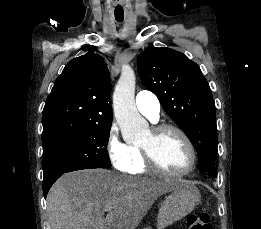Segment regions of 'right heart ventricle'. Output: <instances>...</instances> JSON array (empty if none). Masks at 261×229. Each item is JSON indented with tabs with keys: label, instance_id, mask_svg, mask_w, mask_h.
I'll use <instances>...</instances> for the list:
<instances>
[{
	"label": "right heart ventricle",
	"instance_id": "e07e8e85",
	"mask_svg": "<svg viewBox=\"0 0 261 229\" xmlns=\"http://www.w3.org/2000/svg\"><path fill=\"white\" fill-rule=\"evenodd\" d=\"M134 154V164L130 170L132 174H144L148 171L142 149L139 145H131Z\"/></svg>",
	"mask_w": 261,
	"mask_h": 229
}]
</instances>
